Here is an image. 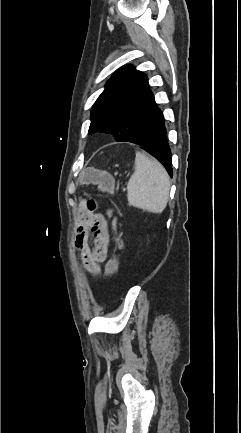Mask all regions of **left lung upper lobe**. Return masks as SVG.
<instances>
[{"mask_svg": "<svg viewBox=\"0 0 241 433\" xmlns=\"http://www.w3.org/2000/svg\"><path fill=\"white\" fill-rule=\"evenodd\" d=\"M160 112L147 76L126 65L113 74L94 103L88 133H111L116 141H127L144 131Z\"/></svg>", "mask_w": 241, "mask_h": 433, "instance_id": "obj_1", "label": "left lung upper lobe"}]
</instances>
